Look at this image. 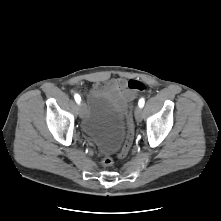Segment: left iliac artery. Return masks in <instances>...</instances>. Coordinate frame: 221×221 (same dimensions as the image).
<instances>
[{
    "label": "left iliac artery",
    "instance_id": "obj_1",
    "mask_svg": "<svg viewBox=\"0 0 221 221\" xmlns=\"http://www.w3.org/2000/svg\"><path fill=\"white\" fill-rule=\"evenodd\" d=\"M144 103H145L144 99L141 98V99L139 100V102H138L139 107L142 108V107L144 106Z\"/></svg>",
    "mask_w": 221,
    "mask_h": 221
}]
</instances>
